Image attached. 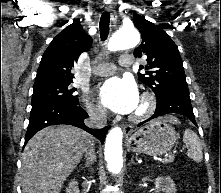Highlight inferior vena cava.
<instances>
[{"mask_svg": "<svg viewBox=\"0 0 221 193\" xmlns=\"http://www.w3.org/2000/svg\"><path fill=\"white\" fill-rule=\"evenodd\" d=\"M89 118L85 124L93 128H103L107 122L106 110L102 107L92 108L88 111ZM87 163L92 164L96 158L93 144H88L85 148Z\"/></svg>", "mask_w": 221, "mask_h": 193, "instance_id": "obj_1", "label": "inferior vena cava"}]
</instances>
